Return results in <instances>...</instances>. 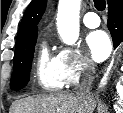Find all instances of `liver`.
<instances>
[{
	"label": "liver",
	"mask_w": 123,
	"mask_h": 113,
	"mask_svg": "<svg viewBox=\"0 0 123 113\" xmlns=\"http://www.w3.org/2000/svg\"><path fill=\"white\" fill-rule=\"evenodd\" d=\"M95 106L92 96L86 99L77 93L63 92L16 101L13 113H92Z\"/></svg>",
	"instance_id": "6515ba94"
}]
</instances>
